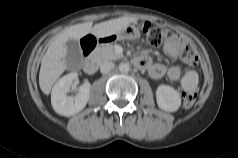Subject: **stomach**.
<instances>
[{
  "mask_svg": "<svg viewBox=\"0 0 238 158\" xmlns=\"http://www.w3.org/2000/svg\"><path fill=\"white\" fill-rule=\"evenodd\" d=\"M140 37V30L135 25H128L119 32L108 36V41L114 40H133Z\"/></svg>",
  "mask_w": 238,
  "mask_h": 158,
  "instance_id": "1",
  "label": "stomach"
}]
</instances>
